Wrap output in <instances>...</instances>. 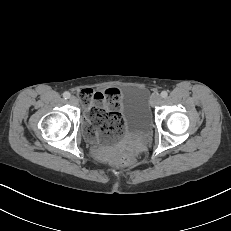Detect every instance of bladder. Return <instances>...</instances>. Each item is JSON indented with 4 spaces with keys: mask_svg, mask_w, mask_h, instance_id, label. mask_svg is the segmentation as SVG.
Wrapping results in <instances>:
<instances>
[{
    "mask_svg": "<svg viewBox=\"0 0 231 231\" xmlns=\"http://www.w3.org/2000/svg\"><path fill=\"white\" fill-rule=\"evenodd\" d=\"M119 102L125 117L126 136L138 138L147 135L152 128L151 99L147 89L128 85L122 90Z\"/></svg>",
    "mask_w": 231,
    "mask_h": 231,
    "instance_id": "obj_1",
    "label": "bladder"
}]
</instances>
